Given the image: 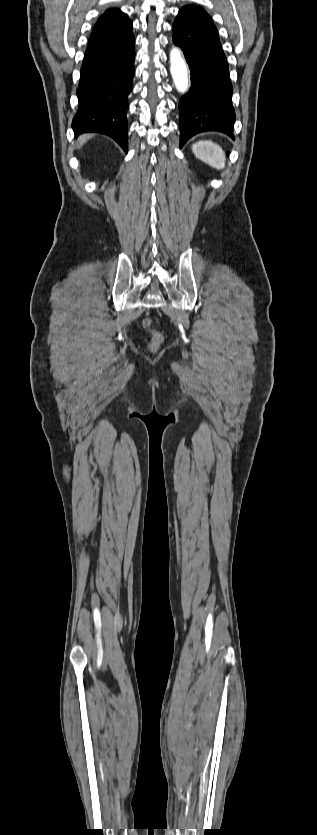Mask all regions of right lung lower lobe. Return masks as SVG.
<instances>
[{
  "label": "right lung lower lobe",
  "mask_w": 317,
  "mask_h": 835,
  "mask_svg": "<svg viewBox=\"0 0 317 835\" xmlns=\"http://www.w3.org/2000/svg\"><path fill=\"white\" fill-rule=\"evenodd\" d=\"M134 44L133 34L112 43L92 32L77 89L79 110L72 122L75 136L103 133L127 152L126 112L134 76Z\"/></svg>",
  "instance_id": "right-lung-lower-lobe-1"
}]
</instances>
